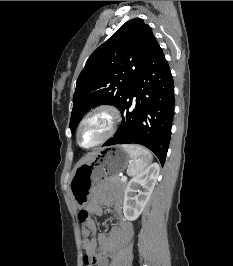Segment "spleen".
<instances>
[{"mask_svg":"<svg viewBox=\"0 0 233 266\" xmlns=\"http://www.w3.org/2000/svg\"><path fill=\"white\" fill-rule=\"evenodd\" d=\"M122 147L129 153L131 161L127 174L137 176L144 171L153 157L150 151L139 145L124 144Z\"/></svg>","mask_w":233,"mask_h":266,"instance_id":"1","label":"spleen"}]
</instances>
